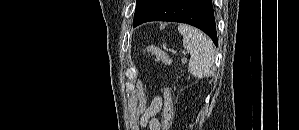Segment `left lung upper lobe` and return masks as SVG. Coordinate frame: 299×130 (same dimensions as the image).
<instances>
[{
  "label": "left lung upper lobe",
  "mask_w": 299,
  "mask_h": 130,
  "mask_svg": "<svg viewBox=\"0 0 299 130\" xmlns=\"http://www.w3.org/2000/svg\"><path fill=\"white\" fill-rule=\"evenodd\" d=\"M150 0H137L133 24L145 17L149 10Z\"/></svg>",
  "instance_id": "obj_1"
}]
</instances>
